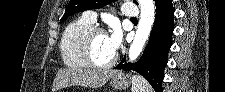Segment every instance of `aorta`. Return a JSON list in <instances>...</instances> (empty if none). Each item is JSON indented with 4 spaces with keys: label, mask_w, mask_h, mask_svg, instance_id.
<instances>
[{
    "label": "aorta",
    "mask_w": 225,
    "mask_h": 92,
    "mask_svg": "<svg viewBox=\"0 0 225 92\" xmlns=\"http://www.w3.org/2000/svg\"><path fill=\"white\" fill-rule=\"evenodd\" d=\"M139 5L141 11L140 21L128 53L129 61L131 62L135 61L142 52L155 19V4L153 0H139Z\"/></svg>",
    "instance_id": "obj_1"
}]
</instances>
